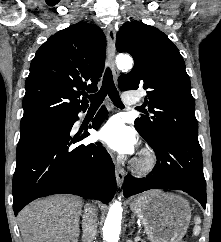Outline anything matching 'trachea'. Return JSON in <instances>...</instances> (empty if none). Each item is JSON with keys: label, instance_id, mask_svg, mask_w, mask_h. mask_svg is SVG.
Segmentation results:
<instances>
[{"label": "trachea", "instance_id": "1", "mask_svg": "<svg viewBox=\"0 0 221 242\" xmlns=\"http://www.w3.org/2000/svg\"><path fill=\"white\" fill-rule=\"evenodd\" d=\"M107 95L116 107L124 108L119 93L114 85L110 68H107L105 71L101 89L96 94L89 96L91 106H100Z\"/></svg>", "mask_w": 221, "mask_h": 242}]
</instances>
